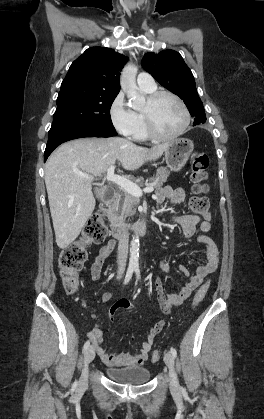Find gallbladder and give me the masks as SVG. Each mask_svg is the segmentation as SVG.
I'll use <instances>...</instances> for the list:
<instances>
[{"label": "gallbladder", "mask_w": 264, "mask_h": 419, "mask_svg": "<svg viewBox=\"0 0 264 419\" xmlns=\"http://www.w3.org/2000/svg\"><path fill=\"white\" fill-rule=\"evenodd\" d=\"M96 194V197H99V193H95Z\"/></svg>", "instance_id": "gallbladder-1"}]
</instances>
